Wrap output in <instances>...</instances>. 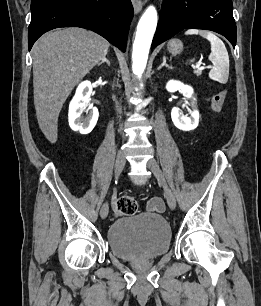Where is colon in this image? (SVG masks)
<instances>
[{
  "instance_id": "1",
  "label": "colon",
  "mask_w": 261,
  "mask_h": 306,
  "mask_svg": "<svg viewBox=\"0 0 261 306\" xmlns=\"http://www.w3.org/2000/svg\"><path fill=\"white\" fill-rule=\"evenodd\" d=\"M227 98V91L222 90L216 93L212 98V107L214 111L220 112L225 104ZM117 210L124 215H133L138 210L136 199L130 194L120 196L116 202Z\"/></svg>"
}]
</instances>
